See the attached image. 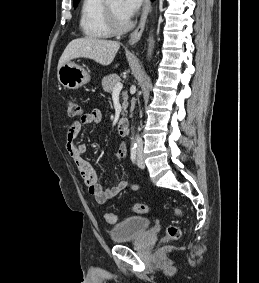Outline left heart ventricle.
Returning a JSON list of instances; mask_svg holds the SVG:
<instances>
[{"instance_id": "b2bd125f", "label": "left heart ventricle", "mask_w": 259, "mask_h": 283, "mask_svg": "<svg viewBox=\"0 0 259 283\" xmlns=\"http://www.w3.org/2000/svg\"><path fill=\"white\" fill-rule=\"evenodd\" d=\"M110 4L120 20L125 21L126 18L121 12V0H110Z\"/></svg>"}]
</instances>
